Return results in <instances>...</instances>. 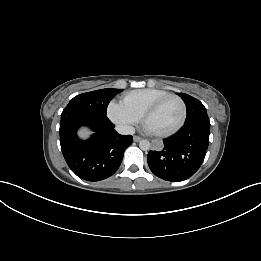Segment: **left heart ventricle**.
Here are the masks:
<instances>
[{
	"mask_svg": "<svg viewBox=\"0 0 261 261\" xmlns=\"http://www.w3.org/2000/svg\"><path fill=\"white\" fill-rule=\"evenodd\" d=\"M181 117V106L175 99L163 103L147 120L146 126L155 132H164L177 125Z\"/></svg>",
	"mask_w": 261,
	"mask_h": 261,
	"instance_id": "left-heart-ventricle-1",
	"label": "left heart ventricle"
}]
</instances>
